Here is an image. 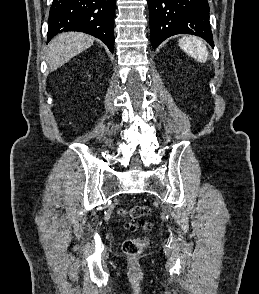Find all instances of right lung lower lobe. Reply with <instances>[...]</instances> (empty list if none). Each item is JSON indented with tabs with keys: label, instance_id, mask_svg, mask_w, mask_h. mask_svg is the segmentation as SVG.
Masks as SVG:
<instances>
[{
	"label": "right lung lower lobe",
	"instance_id": "98d812e1",
	"mask_svg": "<svg viewBox=\"0 0 259 294\" xmlns=\"http://www.w3.org/2000/svg\"><path fill=\"white\" fill-rule=\"evenodd\" d=\"M116 0H53L47 40L66 31H80L102 40L114 51V11Z\"/></svg>",
	"mask_w": 259,
	"mask_h": 294
}]
</instances>
